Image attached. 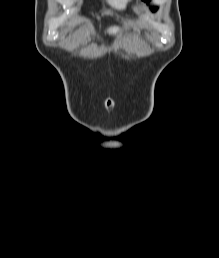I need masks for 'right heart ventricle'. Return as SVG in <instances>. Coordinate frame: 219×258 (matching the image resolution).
<instances>
[{
  "label": "right heart ventricle",
  "mask_w": 219,
  "mask_h": 258,
  "mask_svg": "<svg viewBox=\"0 0 219 258\" xmlns=\"http://www.w3.org/2000/svg\"><path fill=\"white\" fill-rule=\"evenodd\" d=\"M106 3L117 11H125L131 7L133 0H106Z\"/></svg>",
  "instance_id": "e07e8e85"
}]
</instances>
